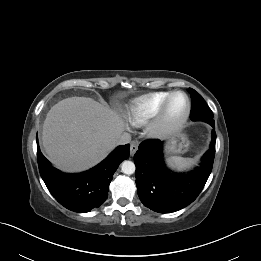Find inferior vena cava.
<instances>
[{"label": "inferior vena cava", "mask_w": 261, "mask_h": 261, "mask_svg": "<svg viewBox=\"0 0 261 261\" xmlns=\"http://www.w3.org/2000/svg\"><path fill=\"white\" fill-rule=\"evenodd\" d=\"M130 141H131V135L127 132H124L120 135L117 143L123 145V144L130 143Z\"/></svg>", "instance_id": "1"}]
</instances>
